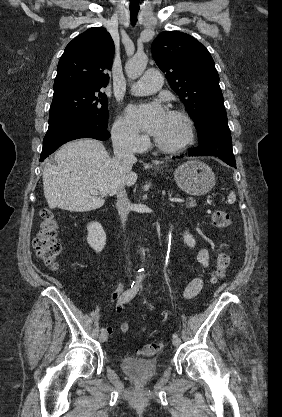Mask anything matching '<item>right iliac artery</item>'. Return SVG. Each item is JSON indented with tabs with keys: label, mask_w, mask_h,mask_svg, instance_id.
I'll use <instances>...</instances> for the list:
<instances>
[{
	"label": "right iliac artery",
	"mask_w": 282,
	"mask_h": 417,
	"mask_svg": "<svg viewBox=\"0 0 282 417\" xmlns=\"http://www.w3.org/2000/svg\"><path fill=\"white\" fill-rule=\"evenodd\" d=\"M140 287V281H136V283H132L131 288L128 289L127 291H125L121 296H120V301L122 303H127L129 302L131 299H133ZM101 332L104 333L105 332V328L101 329ZM101 333V334H102Z\"/></svg>",
	"instance_id": "82829eb1"
}]
</instances>
